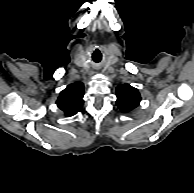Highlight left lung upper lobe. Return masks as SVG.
I'll list each match as a JSON object with an SVG mask.
<instances>
[{"label": "left lung upper lobe", "mask_w": 194, "mask_h": 193, "mask_svg": "<svg viewBox=\"0 0 194 193\" xmlns=\"http://www.w3.org/2000/svg\"><path fill=\"white\" fill-rule=\"evenodd\" d=\"M116 104L124 113L130 112L136 108L141 100L138 90L129 84H123L117 87Z\"/></svg>", "instance_id": "1"}]
</instances>
